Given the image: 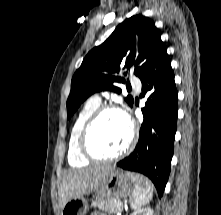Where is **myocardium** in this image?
I'll list each match as a JSON object with an SVG mask.
<instances>
[{
    "label": "myocardium",
    "mask_w": 221,
    "mask_h": 215,
    "mask_svg": "<svg viewBox=\"0 0 221 215\" xmlns=\"http://www.w3.org/2000/svg\"><path fill=\"white\" fill-rule=\"evenodd\" d=\"M107 112H116L120 114L129 127L130 135L127 145L119 153L112 156H100L91 150L89 146V135L95 123L98 121V119ZM136 141H137V129L134 122L129 118V116L121 108L113 104H105V105H100L98 108H96L92 112V114L88 117V119L85 121L78 137V148L81 155L89 161L111 162L119 160L125 157L126 155H128L134 148Z\"/></svg>",
    "instance_id": "myocardium-1"
}]
</instances>
